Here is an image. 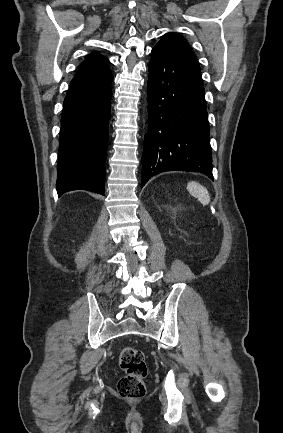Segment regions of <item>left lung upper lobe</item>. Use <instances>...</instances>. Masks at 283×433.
I'll list each match as a JSON object with an SVG mask.
<instances>
[{
  "mask_svg": "<svg viewBox=\"0 0 283 433\" xmlns=\"http://www.w3.org/2000/svg\"><path fill=\"white\" fill-rule=\"evenodd\" d=\"M156 46H167L192 53L188 42L183 37L172 33L165 34Z\"/></svg>",
  "mask_w": 283,
  "mask_h": 433,
  "instance_id": "obj_1",
  "label": "left lung upper lobe"
}]
</instances>
